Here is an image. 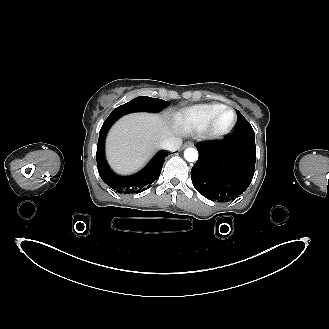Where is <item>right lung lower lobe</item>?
Returning <instances> with one entry per match:
<instances>
[{
    "label": "right lung lower lobe",
    "mask_w": 329,
    "mask_h": 329,
    "mask_svg": "<svg viewBox=\"0 0 329 329\" xmlns=\"http://www.w3.org/2000/svg\"><path fill=\"white\" fill-rule=\"evenodd\" d=\"M115 120H105L103 123L98 139L97 145V166L98 172L102 180L110 186L112 189L118 191L119 193L130 194L142 191L158 179L164 159L167 155V152H159L149 163V165L144 168L138 174H135L130 177H122L114 174L110 171L105 159H104V140L106 133L110 126Z\"/></svg>",
    "instance_id": "right-lung-lower-lobe-1"
}]
</instances>
